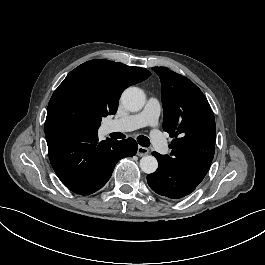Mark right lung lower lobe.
<instances>
[{
	"label": "right lung lower lobe",
	"mask_w": 265,
	"mask_h": 265,
	"mask_svg": "<svg viewBox=\"0 0 265 265\" xmlns=\"http://www.w3.org/2000/svg\"><path fill=\"white\" fill-rule=\"evenodd\" d=\"M51 165L72 192L89 195L109 180L119 159L137 152L134 139L99 141L97 132L45 125Z\"/></svg>",
	"instance_id": "right-lung-lower-lobe-1"
}]
</instances>
